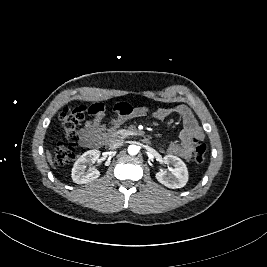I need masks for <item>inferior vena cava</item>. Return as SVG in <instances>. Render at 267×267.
I'll list each match as a JSON object with an SVG mask.
<instances>
[{"label":"inferior vena cava","instance_id":"602c4592","mask_svg":"<svg viewBox=\"0 0 267 267\" xmlns=\"http://www.w3.org/2000/svg\"><path fill=\"white\" fill-rule=\"evenodd\" d=\"M123 144H124V140H122V139H113L109 143V148L114 150V149L119 148Z\"/></svg>","mask_w":267,"mask_h":267}]
</instances>
